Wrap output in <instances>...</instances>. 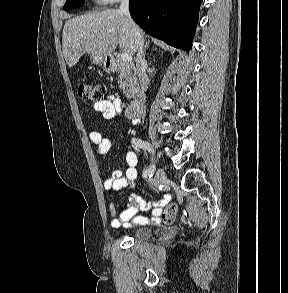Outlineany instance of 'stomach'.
Here are the masks:
<instances>
[{"label": "stomach", "instance_id": "0dacf381", "mask_svg": "<svg viewBox=\"0 0 288 293\" xmlns=\"http://www.w3.org/2000/svg\"><path fill=\"white\" fill-rule=\"evenodd\" d=\"M90 59L93 64L102 66L105 70L109 71L112 69L111 59L109 56L92 54Z\"/></svg>", "mask_w": 288, "mask_h": 293}]
</instances>
